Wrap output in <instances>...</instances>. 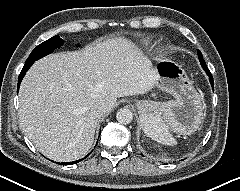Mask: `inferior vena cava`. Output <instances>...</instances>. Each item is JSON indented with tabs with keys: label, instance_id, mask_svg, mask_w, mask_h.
Wrapping results in <instances>:
<instances>
[{
	"label": "inferior vena cava",
	"instance_id": "602c4592",
	"mask_svg": "<svg viewBox=\"0 0 240 191\" xmlns=\"http://www.w3.org/2000/svg\"><path fill=\"white\" fill-rule=\"evenodd\" d=\"M97 112L99 113H105L108 110V105L106 102H98L95 106Z\"/></svg>",
	"mask_w": 240,
	"mask_h": 191
}]
</instances>
